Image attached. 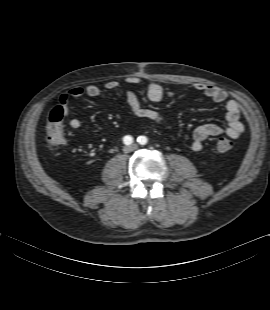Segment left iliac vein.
<instances>
[{"label":"left iliac vein","mask_w":270,"mask_h":310,"mask_svg":"<svg viewBox=\"0 0 270 310\" xmlns=\"http://www.w3.org/2000/svg\"><path fill=\"white\" fill-rule=\"evenodd\" d=\"M132 148H134V149H135V148H136V145H135V144H133V145H132Z\"/></svg>","instance_id":"1"}]
</instances>
